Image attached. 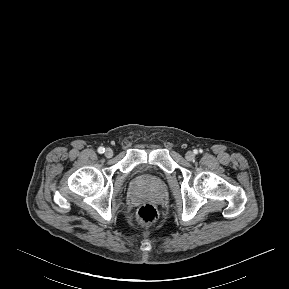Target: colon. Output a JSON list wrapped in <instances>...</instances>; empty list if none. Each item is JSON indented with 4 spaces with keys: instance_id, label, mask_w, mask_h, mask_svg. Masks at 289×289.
<instances>
[{
    "instance_id": "colon-1",
    "label": "colon",
    "mask_w": 289,
    "mask_h": 289,
    "mask_svg": "<svg viewBox=\"0 0 289 289\" xmlns=\"http://www.w3.org/2000/svg\"><path fill=\"white\" fill-rule=\"evenodd\" d=\"M137 219L142 225H150L157 219V210L151 204L142 205L137 212Z\"/></svg>"
}]
</instances>
